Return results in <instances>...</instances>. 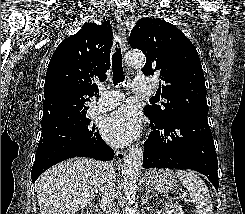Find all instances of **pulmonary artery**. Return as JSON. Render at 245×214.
Wrapping results in <instances>:
<instances>
[{"mask_svg":"<svg viewBox=\"0 0 245 214\" xmlns=\"http://www.w3.org/2000/svg\"><path fill=\"white\" fill-rule=\"evenodd\" d=\"M133 89L136 93L150 96L154 93V83L150 79L135 78L133 80ZM123 97V93L117 90L102 91L97 107L100 111L110 110L119 105Z\"/></svg>","mask_w":245,"mask_h":214,"instance_id":"obj_1","label":"pulmonary artery"}]
</instances>
